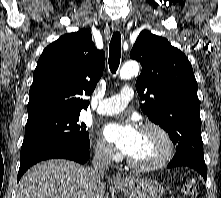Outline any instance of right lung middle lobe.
I'll use <instances>...</instances> for the list:
<instances>
[{
  "instance_id": "dd1d6c3e",
  "label": "right lung middle lobe",
  "mask_w": 221,
  "mask_h": 198,
  "mask_svg": "<svg viewBox=\"0 0 221 198\" xmlns=\"http://www.w3.org/2000/svg\"><path fill=\"white\" fill-rule=\"evenodd\" d=\"M80 113L53 114L28 121L20 156L39 146L67 142L90 147L86 125L78 121Z\"/></svg>"
}]
</instances>
